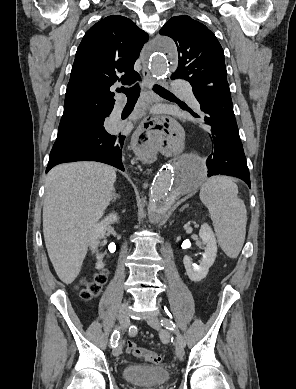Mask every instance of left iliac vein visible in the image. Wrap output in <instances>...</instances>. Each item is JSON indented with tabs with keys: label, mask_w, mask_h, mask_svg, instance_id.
I'll list each match as a JSON object with an SVG mask.
<instances>
[{
	"label": "left iliac vein",
	"mask_w": 296,
	"mask_h": 389,
	"mask_svg": "<svg viewBox=\"0 0 296 389\" xmlns=\"http://www.w3.org/2000/svg\"><path fill=\"white\" fill-rule=\"evenodd\" d=\"M147 323L155 329H159L161 327L160 319L157 315L149 317L147 319ZM175 353L178 358H182L184 356V346L180 342L176 343Z\"/></svg>",
	"instance_id": "4c4485c4"
}]
</instances>
